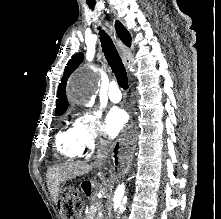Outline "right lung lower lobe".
I'll return each mask as SVG.
<instances>
[{"label": "right lung lower lobe", "instance_id": "98d812e1", "mask_svg": "<svg viewBox=\"0 0 221 219\" xmlns=\"http://www.w3.org/2000/svg\"><path fill=\"white\" fill-rule=\"evenodd\" d=\"M118 149V144L116 145L115 149H114V152H116Z\"/></svg>", "mask_w": 221, "mask_h": 219}]
</instances>
